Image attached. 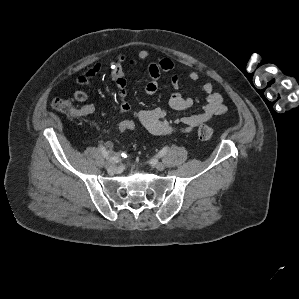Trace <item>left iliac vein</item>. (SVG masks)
I'll return each mask as SVG.
<instances>
[{"label": "left iliac vein", "mask_w": 299, "mask_h": 299, "mask_svg": "<svg viewBox=\"0 0 299 299\" xmlns=\"http://www.w3.org/2000/svg\"><path fill=\"white\" fill-rule=\"evenodd\" d=\"M152 165L159 171H163L165 168L162 162H152Z\"/></svg>", "instance_id": "1"}]
</instances>
